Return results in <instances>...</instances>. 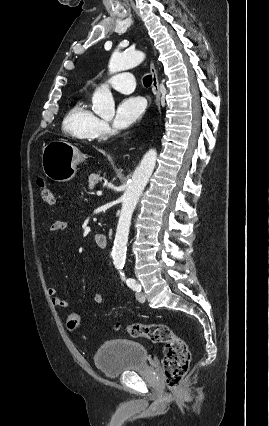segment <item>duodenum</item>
<instances>
[{"label": "duodenum", "mask_w": 269, "mask_h": 426, "mask_svg": "<svg viewBox=\"0 0 269 426\" xmlns=\"http://www.w3.org/2000/svg\"><path fill=\"white\" fill-rule=\"evenodd\" d=\"M96 244L99 248L105 249L108 245V238L104 234H97L95 236Z\"/></svg>", "instance_id": "410a0bca"}]
</instances>
